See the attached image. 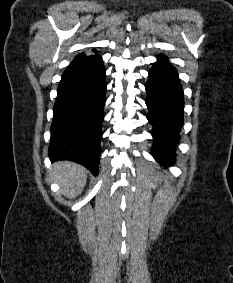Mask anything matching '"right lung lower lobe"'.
Listing matches in <instances>:
<instances>
[{"label":"right lung lower lobe","mask_w":233,"mask_h":283,"mask_svg":"<svg viewBox=\"0 0 233 283\" xmlns=\"http://www.w3.org/2000/svg\"><path fill=\"white\" fill-rule=\"evenodd\" d=\"M105 72L100 55L75 58L64 71L53 109L52 161H74L98 174Z\"/></svg>","instance_id":"98d812e1"}]
</instances>
